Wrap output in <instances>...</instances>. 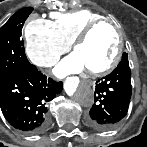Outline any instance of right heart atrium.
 Returning <instances> with one entry per match:
<instances>
[{
  "mask_svg": "<svg viewBox=\"0 0 147 147\" xmlns=\"http://www.w3.org/2000/svg\"><path fill=\"white\" fill-rule=\"evenodd\" d=\"M24 36L27 57L37 67L52 66L68 48L55 36L52 22L36 16L26 24Z\"/></svg>",
  "mask_w": 147,
  "mask_h": 147,
  "instance_id": "right-heart-atrium-1",
  "label": "right heart atrium"
}]
</instances>
